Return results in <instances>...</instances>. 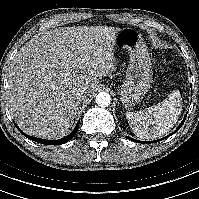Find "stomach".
<instances>
[{
	"label": "stomach",
	"mask_w": 199,
	"mask_h": 199,
	"mask_svg": "<svg viewBox=\"0 0 199 199\" xmlns=\"http://www.w3.org/2000/svg\"><path fill=\"white\" fill-rule=\"evenodd\" d=\"M114 46L129 54L126 79L118 87L117 93L126 109L139 103L148 92L152 83V63L142 35L134 28L118 31Z\"/></svg>",
	"instance_id": "0dacf381"
}]
</instances>
